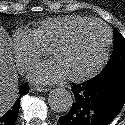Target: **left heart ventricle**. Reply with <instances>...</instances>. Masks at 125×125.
I'll use <instances>...</instances> for the list:
<instances>
[{
    "mask_svg": "<svg viewBox=\"0 0 125 125\" xmlns=\"http://www.w3.org/2000/svg\"><path fill=\"white\" fill-rule=\"evenodd\" d=\"M105 42L106 33L100 25H87L58 47L53 57L61 63L68 76L79 75L96 65Z\"/></svg>",
    "mask_w": 125,
    "mask_h": 125,
    "instance_id": "obj_1",
    "label": "left heart ventricle"
}]
</instances>
